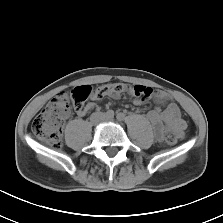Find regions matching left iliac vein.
I'll list each match as a JSON object with an SVG mask.
<instances>
[{"mask_svg":"<svg viewBox=\"0 0 223 223\" xmlns=\"http://www.w3.org/2000/svg\"><path fill=\"white\" fill-rule=\"evenodd\" d=\"M107 121H109V122H113L114 119H113V118H108Z\"/></svg>","mask_w":223,"mask_h":223,"instance_id":"1","label":"left iliac vein"}]
</instances>
